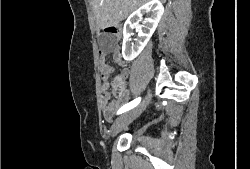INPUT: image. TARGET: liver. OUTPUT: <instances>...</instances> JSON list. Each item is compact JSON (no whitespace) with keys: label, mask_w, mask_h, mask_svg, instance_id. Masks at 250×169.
<instances>
[{"label":"liver","mask_w":250,"mask_h":169,"mask_svg":"<svg viewBox=\"0 0 250 169\" xmlns=\"http://www.w3.org/2000/svg\"><path fill=\"white\" fill-rule=\"evenodd\" d=\"M147 0H90L99 28L117 26L130 12ZM166 2V0H162Z\"/></svg>","instance_id":"6515ba94"}]
</instances>
